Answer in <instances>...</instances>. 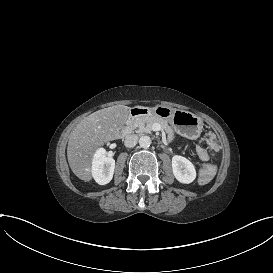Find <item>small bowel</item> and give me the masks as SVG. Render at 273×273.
<instances>
[{"mask_svg": "<svg viewBox=\"0 0 273 273\" xmlns=\"http://www.w3.org/2000/svg\"><path fill=\"white\" fill-rule=\"evenodd\" d=\"M205 137L207 143L210 145V151L212 153H217L219 151L218 140L216 139L215 133L212 130H207L205 132ZM197 155L202 159H207L210 156V153L207 151L205 147H200L197 150Z\"/></svg>", "mask_w": 273, "mask_h": 273, "instance_id": "1", "label": "small bowel"}]
</instances>
